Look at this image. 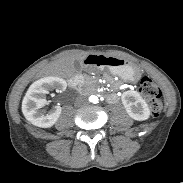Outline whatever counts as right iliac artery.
I'll return each instance as SVG.
<instances>
[{"label": "right iliac artery", "instance_id": "82829eb1", "mask_svg": "<svg viewBox=\"0 0 183 183\" xmlns=\"http://www.w3.org/2000/svg\"><path fill=\"white\" fill-rule=\"evenodd\" d=\"M92 100H93V98H92V97H90V98H89V101H92Z\"/></svg>", "mask_w": 183, "mask_h": 183}]
</instances>
